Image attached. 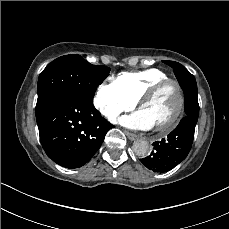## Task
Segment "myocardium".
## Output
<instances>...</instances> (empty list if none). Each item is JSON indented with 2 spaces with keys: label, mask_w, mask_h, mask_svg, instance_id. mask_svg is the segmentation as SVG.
Returning <instances> with one entry per match:
<instances>
[{
  "label": "myocardium",
  "mask_w": 229,
  "mask_h": 229,
  "mask_svg": "<svg viewBox=\"0 0 229 229\" xmlns=\"http://www.w3.org/2000/svg\"><path fill=\"white\" fill-rule=\"evenodd\" d=\"M169 83H174V89L172 90V100L174 102V107L171 111V115L165 121L164 128H154L155 131L160 135H166L172 132L183 120L188 109V98L182 83L176 78H167L148 90V92L139 101L138 109L140 110L144 105L149 104L154 100L158 93ZM183 105V106H182ZM183 107V109H182ZM182 110V111H181Z\"/></svg>",
  "instance_id": "obj_1"
}]
</instances>
